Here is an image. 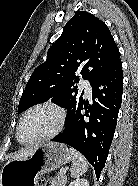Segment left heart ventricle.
<instances>
[{"label": "left heart ventricle", "instance_id": "1", "mask_svg": "<svg viewBox=\"0 0 138 186\" xmlns=\"http://www.w3.org/2000/svg\"><path fill=\"white\" fill-rule=\"evenodd\" d=\"M59 122L58 114L48 108H42L31 112L23 121L20 136L29 141L46 135L53 131Z\"/></svg>", "mask_w": 138, "mask_h": 186}]
</instances>
